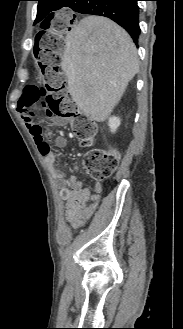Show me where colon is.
Segmentation results:
<instances>
[{"mask_svg": "<svg viewBox=\"0 0 183 329\" xmlns=\"http://www.w3.org/2000/svg\"><path fill=\"white\" fill-rule=\"evenodd\" d=\"M79 18V14H46L41 25H37V31H33V38H37L33 47L35 62L34 66L28 67V72L40 74H28L27 86H23L18 102V114L69 120L73 134L89 145L95 136V125L86 114L77 110L66 87L67 75L60 69L61 38H75ZM49 149V142L43 140L40 150L46 153ZM120 158L121 154L115 148H92L85 153L83 165L92 178L104 180L114 173ZM62 195L74 205L80 203V193L73 188L63 189Z\"/></svg>", "mask_w": 183, "mask_h": 329, "instance_id": "colon-1", "label": "colon"}]
</instances>
